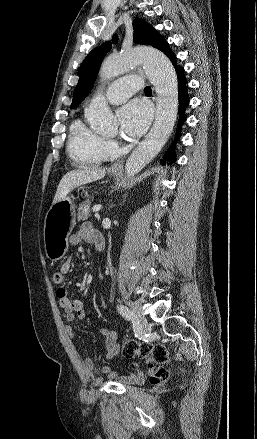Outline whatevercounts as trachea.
<instances>
[{"label":"trachea","instance_id":"3493384b","mask_svg":"<svg viewBox=\"0 0 257 439\" xmlns=\"http://www.w3.org/2000/svg\"><path fill=\"white\" fill-rule=\"evenodd\" d=\"M144 92L145 93H149V92H152V90H151V88L149 86H147V87L144 88Z\"/></svg>","mask_w":257,"mask_h":439}]
</instances>
